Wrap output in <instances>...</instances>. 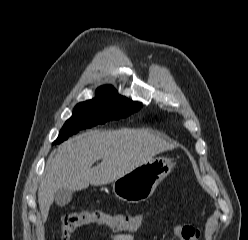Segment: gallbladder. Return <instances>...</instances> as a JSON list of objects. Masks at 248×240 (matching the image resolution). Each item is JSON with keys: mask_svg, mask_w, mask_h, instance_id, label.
Returning <instances> with one entry per match:
<instances>
[{"mask_svg": "<svg viewBox=\"0 0 248 240\" xmlns=\"http://www.w3.org/2000/svg\"><path fill=\"white\" fill-rule=\"evenodd\" d=\"M72 199V191L66 188H61L54 193L55 203L63 207L67 205Z\"/></svg>", "mask_w": 248, "mask_h": 240, "instance_id": "obj_1", "label": "gallbladder"}]
</instances>
